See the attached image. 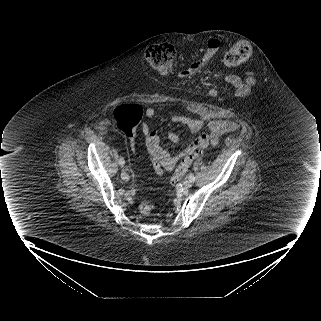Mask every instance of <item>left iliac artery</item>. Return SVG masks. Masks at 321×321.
Instances as JSON below:
<instances>
[{
	"label": "left iliac artery",
	"instance_id": "44dca946",
	"mask_svg": "<svg viewBox=\"0 0 321 321\" xmlns=\"http://www.w3.org/2000/svg\"><path fill=\"white\" fill-rule=\"evenodd\" d=\"M189 179L193 182L195 180V177L192 173L189 174Z\"/></svg>",
	"mask_w": 321,
	"mask_h": 321
}]
</instances>
